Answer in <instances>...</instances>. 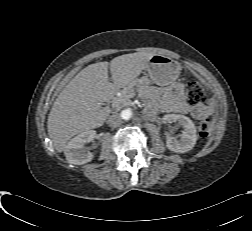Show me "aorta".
<instances>
[{
  "label": "aorta",
  "mask_w": 252,
  "mask_h": 231,
  "mask_svg": "<svg viewBox=\"0 0 252 231\" xmlns=\"http://www.w3.org/2000/svg\"><path fill=\"white\" fill-rule=\"evenodd\" d=\"M133 116V112L131 109H125L121 112V118L124 119V120H129L131 119Z\"/></svg>",
  "instance_id": "obj_1"
}]
</instances>
